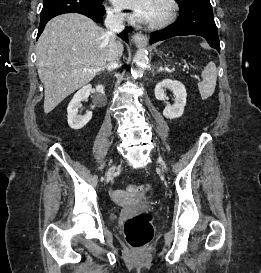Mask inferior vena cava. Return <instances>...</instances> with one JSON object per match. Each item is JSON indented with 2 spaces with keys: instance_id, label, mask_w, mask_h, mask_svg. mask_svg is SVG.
I'll return each mask as SVG.
<instances>
[{
  "instance_id": "1",
  "label": "inferior vena cava",
  "mask_w": 261,
  "mask_h": 273,
  "mask_svg": "<svg viewBox=\"0 0 261 273\" xmlns=\"http://www.w3.org/2000/svg\"><path fill=\"white\" fill-rule=\"evenodd\" d=\"M123 21L124 18L122 15L114 13L112 10H107L105 26L110 37L107 67L110 69H115L118 67L119 60L122 55L120 41L116 40V34L124 30L125 26Z\"/></svg>"
}]
</instances>
